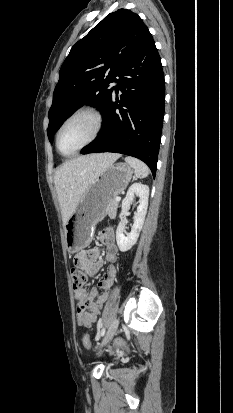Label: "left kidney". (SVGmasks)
<instances>
[{"instance_id": "1", "label": "left kidney", "mask_w": 233, "mask_h": 413, "mask_svg": "<svg viewBox=\"0 0 233 413\" xmlns=\"http://www.w3.org/2000/svg\"><path fill=\"white\" fill-rule=\"evenodd\" d=\"M134 195L139 197V205L137 207V212L134 214V223L132 225L131 232L125 236V227L122 222V216L129 209V205L132 202ZM148 198L149 187L141 183H134L130 186L125 198L122 200V211L120 214L121 221L119 222L116 230V241L120 251L126 252L130 250L137 242L147 213Z\"/></svg>"}]
</instances>
